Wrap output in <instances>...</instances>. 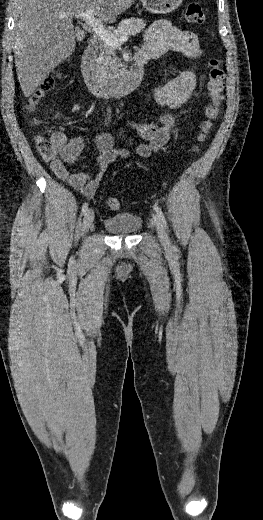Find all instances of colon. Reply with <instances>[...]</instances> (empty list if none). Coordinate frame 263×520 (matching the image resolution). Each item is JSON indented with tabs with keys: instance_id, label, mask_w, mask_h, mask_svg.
<instances>
[{
	"instance_id": "1",
	"label": "colon",
	"mask_w": 263,
	"mask_h": 520,
	"mask_svg": "<svg viewBox=\"0 0 263 520\" xmlns=\"http://www.w3.org/2000/svg\"><path fill=\"white\" fill-rule=\"evenodd\" d=\"M185 19L192 24H202L205 21V14L202 6L197 2H190L185 10ZM225 73L222 61L219 58H211L208 62V80L206 84L210 105L207 107V119L201 125L200 141H204L211 132L213 121L220 114V107L223 101ZM55 85V78L48 77L42 81L38 89L34 92L29 102V109L32 111L39 101L49 93ZM37 148L44 160H52L56 155V146L51 140L38 138ZM108 206L111 210L117 211L121 208V202L117 198H109Z\"/></svg>"
}]
</instances>
